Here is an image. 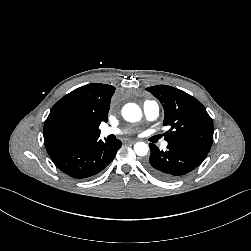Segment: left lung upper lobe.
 <instances>
[{
    "label": "left lung upper lobe",
    "instance_id": "1",
    "mask_svg": "<svg viewBox=\"0 0 251 251\" xmlns=\"http://www.w3.org/2000/svg\"><path fill=\"white\" fill-rule=\"evenodd\" d=\"M163 105L164 136L168 143L185 144L210 151L213 143V122L205 107L194 97L177 88L157 85L146 88Z\"/></svg>",
    "mask_w": 251,
    "mask_h": 251
}]
</instances>
